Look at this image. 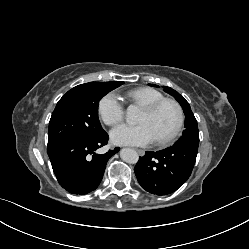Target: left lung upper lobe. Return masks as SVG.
Returning <instances> with one entry per match:
<instances>
[{
  "instance_id": "obj_1",
  "label": "left lung upper lobe",
  "mask_w": 249,
  "mask_h": 249,
  "mask_svg": "<svg viewBox=\"0 0 249 249\" xmlns=\"http://www.w3.org/2000/svg\"><path fill=\"white\" fill-rule=\"evenodd\" d=\"M150 86L159 87L154 84H149ZM164 91L172 95L182 106L185 113V130L183 131L182 136L173 146H196L199 145V132L197 126V120L194 117V114L191 111L189 103L183 98L177 91L173 90L170 87H164Z\"/></svg>"
}]
</instances>
